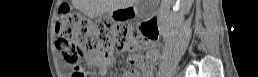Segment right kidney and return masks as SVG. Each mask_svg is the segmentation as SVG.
<instances>
[{
	"label": "right kidney",
	"mask_w": 258,
	"mask_h": 77,
	"mask_svg": "<svg viewBox=\"0 0 258 77\" xmlns=\"http://www.w3.org/2000/svg\"><path fill=\"white\" fill-rule=\"evenodd\" d=\"M183 1V0H182ZM188 2H189V4H187L183 9H182V12L183 13H188L189 12V10H190V7H191V4H192V2H193V0H187ZM180 2V0H177V3H176V5L178 4ZM171 3H172V1H171ZM170 3V4H171ZM170 4H162V8L159 10V17L160 18H165V17H167V15L170 13L169 12V7H170Z\"/></svg>",
	"instance_id": "1"
}]
</instances>
